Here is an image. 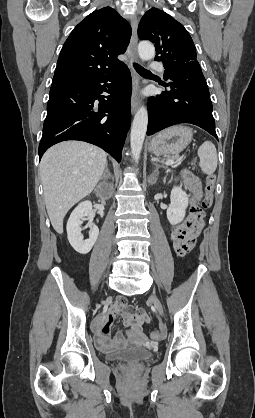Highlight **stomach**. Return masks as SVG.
Returning a JSON list of instances; mask_svg holds the SVG:
<instances>
[{"label": "stomach", "mask_w": 255, "mask_h": 418, "mask_svg": "<svg viewBox=\"0 0 255 418\" xmlns=\"http://www.w3.org/2000/svg\"><path fill=\"white\" fill-rule=\"evenodd\" d=\"M193 138V129L176 125L155 135L149 142V151L156 155H178Z\"/></svg>", "instance_id": "1"}]
</instances>
